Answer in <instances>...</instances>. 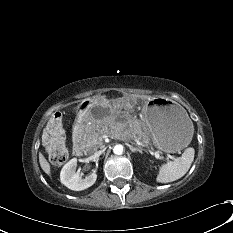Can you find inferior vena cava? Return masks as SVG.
I'll return each mask as SVG.
<instances>
[{
	"instance_id": "602c4592",
	"label": "inferior vena cava",
	"mask_w": 233,
	"mask_h": 233,
	"mask_svg": "<svg viewBox=\"0 0 233 233\" xmlns=\"http://www.w3.org/2000/svg\"><path fill=\"white\" fill-rule=\"evenodd\" d=\"M104 152V149L103 150H99L97 152H95V156H100L102 153Z\"/></svg>"
}]
</instances>
